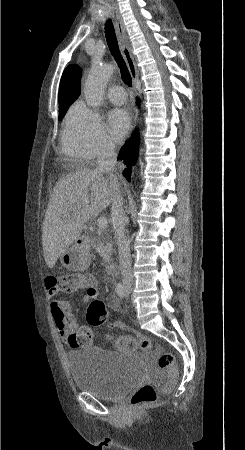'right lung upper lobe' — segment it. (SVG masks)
Masks as SVG:
<instances>
[{"label": "right lung upper lobe", "mask_w": 245, "mask_h": 450, "mask_svg": "<svg viewBox=\"0 0 245 450\" xmlns=\"http://www.w3.org/2000/svg\"><path fill=\"white\" fill-rule=\"evenodd\" d=\"M81 68L77 65L68 66L61 77L59 86V108L71 105L81 91Z\"/></svg>", "instance_id": "right-lung-upper-lobe-1"}]
</instances>
